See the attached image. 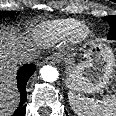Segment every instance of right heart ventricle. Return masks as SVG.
Returning a JSON list of instances; mask_svg holds the SVG:
<instances>
[{
	"label": "right heart ventricle",
	"instance_id": "e07e8e85",
	"mask_svg": "<svg viewBox=\"0 0 116 116\" xmlns=\"http://www.w3.org/2000/svg\"><path fill=\"white\" fill-rule=\"evenodd\" d=\"M79 24V20L72 18L44 22L35 28L34 41L45 48L53 47L69 37Z\"/></svg>",
	"mask_w": 116,
	"mask_h": 116
}]
</instances>
